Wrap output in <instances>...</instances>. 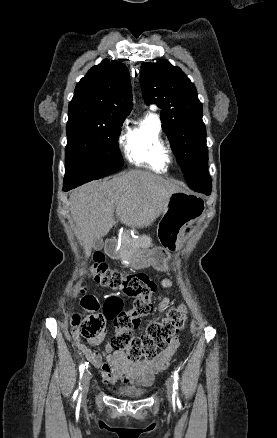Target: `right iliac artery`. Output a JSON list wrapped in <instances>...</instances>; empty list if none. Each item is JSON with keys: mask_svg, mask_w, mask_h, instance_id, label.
Segmentation results:
<instances>
[{"mask_svg": "<svg viewBox=\"0 0 277 438\" xmlns=\"http://www.w3.org/2000/svg\"><path fill=\"white\" fill-rule=\"evenodd\" d=\"M84 369H85L84 364H81L80 367H79L80 377L82 376V374H83V372H84ZM79 390H81V386H79ZM79 390H77V391L75 392V394H74L75 396L78 395V391H79Z\"/></svg>", "mask_w": 277, "mask_h": 438, "instance_id": "1", "label": "right iliac artery"}]
</instances>
